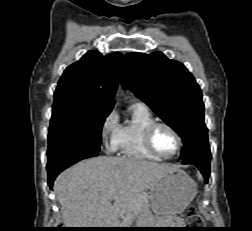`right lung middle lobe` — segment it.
<instances>
[{
  "label": "right lung middle lobe",
  "mask_w": 252,
  "mask_h": 231,
  "mask_svg": "<svg viewBox=\"0 0 252 231\" xmlns=\"http://www.w3.org/2000/svg\"><path fill=\"white\" fill-rule=\"evenodd\" d=\"M110 112L75 104H53L48 160L70 152L100 151L102 126Z\"/></svg>",
  "instance_id": "right-lung-middle-lobe-1"
}]
</instances>
